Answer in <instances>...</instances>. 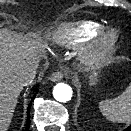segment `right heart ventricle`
Returning a JSON list of instances; mask_svg holds the SVG:
<instances>
[{
    "instance_id": "e07e8e85",
    "label": "right heart ventricle",
    "mask_w": 131,
    "mask_h": 131,
    "mask_svg": "<svg viewBox=\"0 0 131 131\" xmlns=\"http://www.w3.org/2000/svg\"><path fill=\"white\" fill-rule=\"evenodd\" d=\"M102 28L101 23L91 20L64 23L55 29L53 39L62 46H75L87 42Z\"/></svg>"
}]
</instances>
